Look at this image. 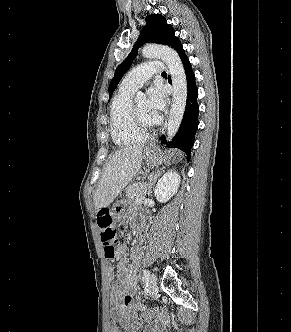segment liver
Returning a JSON list of instances; mask_svg holds the SVG:
<instances>
[{
  "mask_svg": "<svg viewBox=\"0 0 291 332\" xmlns=\"http://www.w3.org/2000/svg\"><path fill=\"white\" fill-rule=\"evenodd\" d=\"M145 147L122 148L110 156L94 194L95 210L108 207L136 176L144 159Z\"/></svg>",
  "mask_w": 291,
  "mask_h": 332,
  "instance_id": "obj_1",
  "label": "liver"
}]
</instances>
